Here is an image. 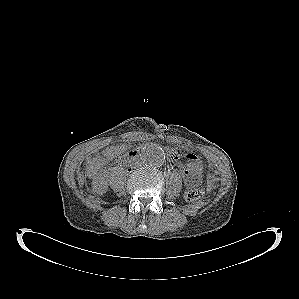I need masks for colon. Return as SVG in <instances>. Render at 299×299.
I'll list each match as a JSON object with an SVG mask.
<instances>
[{"label":"colon","mask_w":299,"mask_h":299,"mask_svg":"<svg viewBox=\"0 0 299 299\" xmlns=\"http://www.w3.org/2000/svg\"><path fill=\"white\" fill-rule=\"evenodd\" d=\"M187 167L193 176L197 179H201L204 173V165L199 157L189 153L185 156ZM204 195V191L200 188H191L185 193V199L189 202H194L201 199Z\"/></svg>","instance_id":"colon-1"}]
</instances>
